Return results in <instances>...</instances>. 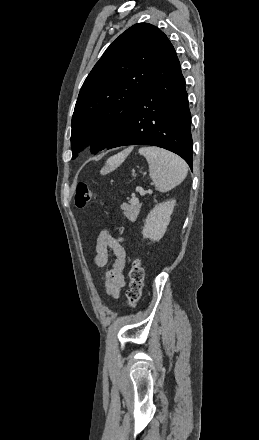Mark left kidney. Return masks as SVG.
<instances>
[{
  "instance_id": "5707ae66",
  "label": "left kidney",
  "mask_w": 259,
  "mask_h": 440,
  "mask_svg": "<svg viewBox=\"0 0 259 440\" xmlns=\"http://www.w3.org/2000/svg\"><path fill=\"white\" fill-rule=\"evenodd\" d=\"M176 201L174 199L159 203L148 214L142 235L152 241H159L165 234L170 223Z\"/></svg>"
}]
</instances>
